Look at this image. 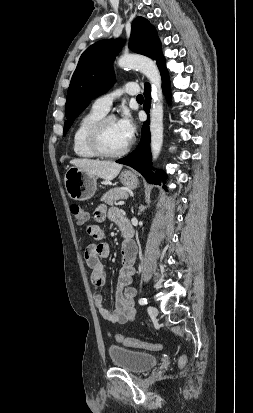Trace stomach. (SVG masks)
<instances>
[{
  "mask_svg": "<svg viewBox=\"0 0 253 413\" xmlns=\"http://www.w3.org/2000/svg\"><path fill=\"white\" fill-rule=\"evenodd\" d=\"M119 179L127 189H135L139 185L137 176L131 171H123ZM64 184L71 199L85 201L94 196L97 189V178L81 168L72 166L65 173Z\"/></svg>",
  "mask_w": 253,
  "mask_h": 413,
  "instance_id": "obj_1",
  "label": "stomach"
}]
</instances>
